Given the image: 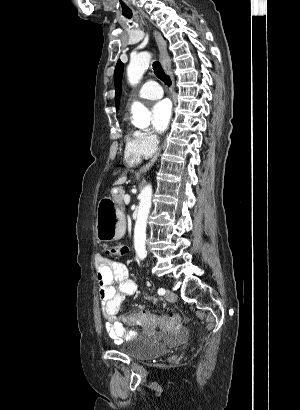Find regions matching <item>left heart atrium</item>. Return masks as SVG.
<instances>
[{
  "mask_svg": "<svg viewBox=\"0 0 300 410\" xmlns=\"http://www.w3.org/2000/svg\"><path fill=\"white\" fill-rule=\"evenodd\" d=\"M172 115L171 104L168 100L157 102L152 108V121L158 133H164L169 126Z\"/></svg>",
  "mask_w": 300,
  "mask_h": 410,
  "instance_id": "1",
  "label": "left heart atrium"
}]
</instances>
